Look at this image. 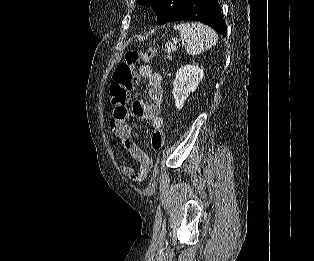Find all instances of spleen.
<instances>
[{"instance_id":"1","label":"spleen","mask_w":314,"mask_h":261,"mask_svg":"<svg viewBox=\"0 0 314 261\" xmlns=\"http://www.w3.org/2000/svg\"><path fill=\"white\" fill-rule=\"evenodd\" d=\"M180 38L186 42L189 55H197L216 45L218 36L210 27L202 23H182L174 25Z\"/></svg>"}]
</instances>
